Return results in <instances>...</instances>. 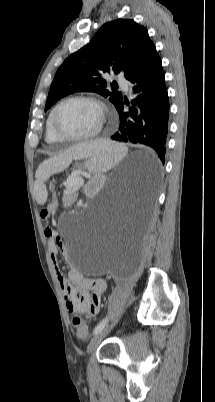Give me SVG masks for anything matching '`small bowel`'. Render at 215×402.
<instances>
[{
    "label": "small bowel",
    "instance_id": "c3829d8e",
    "mask_svg": "<svg viewBox=\"0 0 215 402\" xmlns=\"http://www.w3.org/2000/svg\"><path fill=\"white\" fill-rule=\"evenodd\" d=\"M68 205L67 200L63 201ZM48 242V250L56 269L57 280L63 293L67 309L73 313H85L88 316L98 314L102 296L106 289V283L101 278L85 277L76 269H71L67 276L60 271L58 266V254H65V245L58 232L47 226L44 230ZM95 309L91 312V307Z\"/></svg>",
    "mask_w": 215,
    "mask_h": 402
}]
</instances>
